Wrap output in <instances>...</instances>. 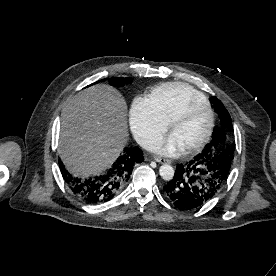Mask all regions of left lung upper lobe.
Returning <instances> with one entry per match:
<instances>
[{
  "label": "left lung upper lobe",
  "mask_w": 276,
  "mask_h": 276,
  "mask_svg": "<svg viewBox=\"0 0 276 276\" xmlns=\"http://www.w3.org/2000/svg\"><path fill=\"white\" fill-rule=\"evenodd\" d=\"M212 102L216 112L218 113L222 127L214 128L213 141L206 146L201 154L210 158L215 166V170H218V173L222 177L220 185L221 188L225 184L229 175L231 163L234 157L233 154L235 144L229 145L226 148H222L226 142L225 132L233 131L232 121L227 109L223 106L222 102L217 97H213Z\"/></svg>",
  "instance_id": "left-lung-upper-lobe-1"
}]
</instances>
